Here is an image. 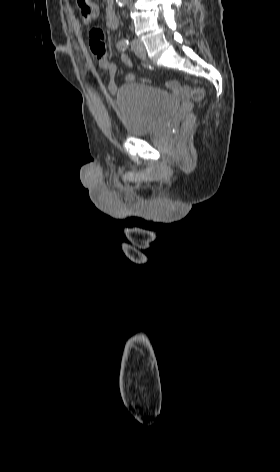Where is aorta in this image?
<instances>
[{
    "label": "aorta",
    "mask_w": 280,
    "mask_h": 472,
    "mask_svg": "<svg viewBox=\"0 0 280 472\" xmlns=\"http://www.w3.org/2000/svg\"><path fill=\"white\" fill-rule=\"evenodd\" d=\"M116 2L118 3V5L123 6L126 3L130 2V0H116Z\"/></svg>",
    "instance_id": "aorta-1"
}]
</instances>
